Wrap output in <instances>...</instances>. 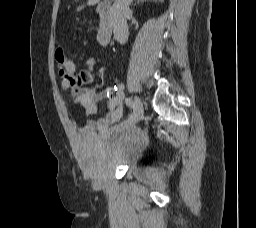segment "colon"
Listing matches in <instances>:
<instances>
[{
    "instance_id": "obj_1",
    "label": "colon",
    "mask_w": 256,
    "mask_h": 228,
    "mask_svg": "<svg viewBox=\"0 0 256 228\" xmlns=\"http://www.w3.org/2000/svg\"><path fill=\"white\" fill-rule=\"evenodd\" d=\"M56 60L58 62V64L61 66L63 64L66 63V61L68 60L65 50L61 47H59L56 51ZM109 101H110V105L113 107V102H114V94H111L108 96Z\"/></svg>"
}]
</instances>
